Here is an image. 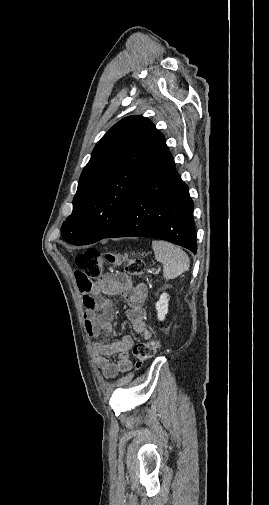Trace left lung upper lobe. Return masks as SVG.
<instances>
[{
    "mask_svg": "<svg viewBox=\"0 0 269 505\" xmlns=\"http://www.w3.org/2000/svg\"><path fill=\"white\" fill-rule=\"evenodd\" d=\"M160 132L142 116L117 122L96 144L73 199L62 237L74 245L104 238L123 213Z\"/></svg>",
    "mask_w": 269,
    "mask_h": 505,
    "instance_id": "5c2ea615",
    "label": "left lung upper lobe"
}]
</instances>
